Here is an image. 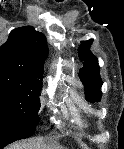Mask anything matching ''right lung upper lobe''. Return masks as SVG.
Instances as JSON below:
<instances>
[{
	"mask_svg": "<svg viewBox=\"0 0 124 149\" xmlns=\"http://www.w3.org/2000/svg\"><path fill=\"white\" fill-rule=\"evenodd\" d=\"M47 56L48 47L41 32L32 26L16 28L0 47V74L27 86L42 87Z\"/></svg>",
	"mask_w": 124,
	"mask_h": 149,
	"instance_id": "right-lung-upper-lobe-1",
	"label": "right lung upper lobe"
}]
</instances>
